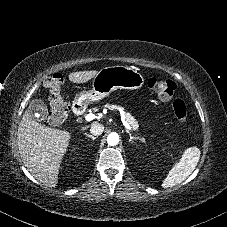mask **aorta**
<instances>
[{"label": "aorta", "mask_w": 227, "mask_h": 227, "mask_svg": "<svg viewBox=\"0 0 227 227\" xmlns=\"http://www.w3.org/2000/svg\"><path fill=\"white\" fill-rule=\"evenodd\" d=\"M107 143L111 146H115L119 143V135L115 132L110 133L107 137Z\"/></svg>", "instance_id": "obj_1"}]
</instances>
